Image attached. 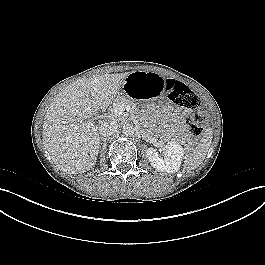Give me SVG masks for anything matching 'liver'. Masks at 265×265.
Wrapping results in <instances>:
<instances>
[{"label":"liver","mask_w":265,"mask_h":265,"mask_svg":"<svg viewBox=\"0 0 265 265\" xmlns=\"http://www.w3.org/2000/svg\"><path fill=\"white\" fill-rule=\"evenodd\" d=\"M128 73L84 78L65 87L51 102L43 123V144L64 172L83 173L96 163L99 129L88 122L119 95Z\"/></svg>","instance_id":"6515ba94"}]
</instances>
